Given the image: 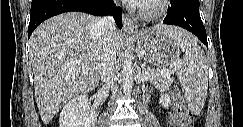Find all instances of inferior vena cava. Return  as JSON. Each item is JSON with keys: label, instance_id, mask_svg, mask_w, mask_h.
Here are the masks:
<instances>
[{"label": "inferior vena cava", "instance_id": "602c4592", "mask_svg": "<svg viewBox=\"0 0 243 127\" xmlns=\"http://www.w3.org/2000/svg\"><path fill=\"white\" fill-rule=\"evenodd\" d=\"M98 25L104 33L100 64L101 81L107 88H115L114 73L117 50L114 42V35L116 33L115 22L111 16H104L100 18Z\"/></svg>", "mask_w": 243, "mask_h": 127}]
</instances>
